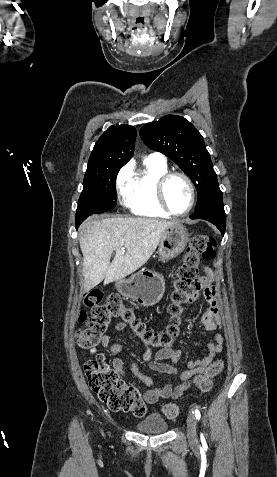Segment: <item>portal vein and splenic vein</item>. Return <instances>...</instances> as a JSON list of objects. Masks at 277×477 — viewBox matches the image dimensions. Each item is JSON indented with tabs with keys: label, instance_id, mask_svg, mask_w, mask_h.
I'll list each match as a JSON object with an SVG mask.
<instances>
[{
	"label": "portal vein and splenic vein",
	"instance_id": "obj_1",
	"mask_svg": "<svg viewBox=\"0 0 277 477\" xmlns=\"http://www.w3.org/2000/svg\"><path fill=\"white\" fill-rule=\"evenodd\" d=\"M121 250H122V252H125V248H122Z\"/></svg>",
	"mask_w": 277,
	"mask_h": 477
}]
</instances>
